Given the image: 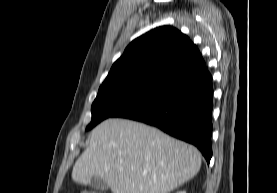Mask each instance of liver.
Returning a JSON list of instances; mask_svg holds the SVG:
<instances>
[{
    "label": "liver",
    "mask_w": 277,
    "mask_h": 193,
    "mask_svg": "<svg viewBox=\"0 0 277 193\" xmlns=\"http://www.w3.org/2000/svg\"><path fill=\"white\" fill-rule=\"evenodd\" d=\"M201 155L185 142L143 123L111 118L91 132L72 179L106 181L112 193H169L200 170Z\"/></svg>",
    "instance_id": "1"
}]
</instances>
